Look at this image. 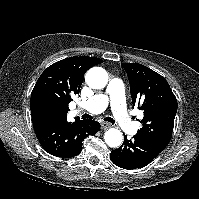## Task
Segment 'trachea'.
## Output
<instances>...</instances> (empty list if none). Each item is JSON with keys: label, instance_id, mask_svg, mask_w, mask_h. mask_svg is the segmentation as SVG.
I'll return each mask as SVG.
<instances>
[{"label": "trachea", "instance_id": "1", "mask_svg": "<svg viewBox=\"0 0 199 199\" xmlns=\"http://www.w3.org/2000/svg\"><path fill=\"white\" fill-rule=\"evenodd\" d=\"M91 118H92V116H91V115H88V114H84V115L82 116V119H91ZM104 120H105V121H108V122H110V123H115V120H114L113 118H111V117H106Z\"/></svg>", "mask_w": 199, "mask_h": 199}]
</instances>
